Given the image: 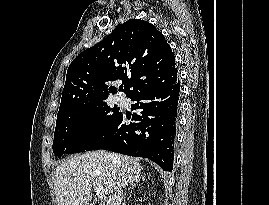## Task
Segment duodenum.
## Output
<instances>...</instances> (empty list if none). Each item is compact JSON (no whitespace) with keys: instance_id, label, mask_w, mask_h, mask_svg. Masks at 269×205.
Here are the masks:
<instances>
[{"instance_id":"410a0bca","label":"duodenum","mask_w":269,"mask_h":205,"mask_svg":"<svg viewBox=\"0 0 269 205\" xmlns=\"http://www.w3.org/2000/svg\"><path fill=\"white\" fill-rule=\"evenodd\" d=\"M87 205H102L101 203H88Z\"/></svg>"}]
</instances>
